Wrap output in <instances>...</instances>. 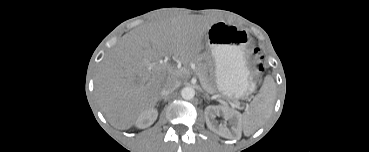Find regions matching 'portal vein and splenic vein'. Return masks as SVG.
<instances>
[{
	"label": "portal vein and splenic vein",
	"mask_w": 369,
	"mask_h": 152,
	"mask_svg": "<svg viewBox=\"0 0 369 152\" xmlns=\"http://www.w3.org/2000/svg\"><path fill=\"white\" fill-rule=\"evenodd\" d=\"M165 60H169V57H168V56H166V57H165ZM210 94H211V93H210Z\"/></svg>",
	"instance_id": "18ae733b"
}]
</instances>
